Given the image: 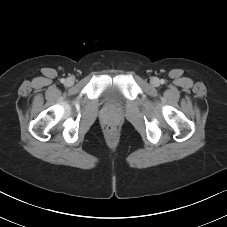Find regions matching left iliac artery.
<instances>
[{
	"label": "left iliac artery",
	"instance_id": "left-iliac-artery-1",
	"mask_svg": "<svg viewBox=\"0 0 227 227\" xmlns=\"http://www.w3.org/2000/svg\"><path fill=\"white\" fill-rule=\"evenodd\" d=\"M160 82L163 84L164 83V80H160Z\"/></svg>",
	"mask_w": 227,
	"mask_h": 227
}]
</instances>
